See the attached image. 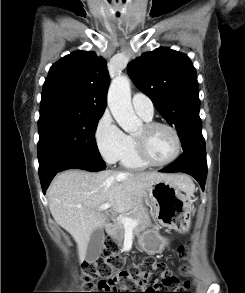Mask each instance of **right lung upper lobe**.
<instances>
[{
  "label": "right lung upper lobe",
  "mask_w": 245,
  "mask_h": 293,
  "mask_svg": "<svg viewBox=\"0 0 245 293\" xmlns=\"http://www.w3.org/2000/svg\"><path fill=\"white\" fill-rule=\"evenodd\" d=\"M108 86L105 59L94 52H73L50 68L43 85L40 113L60 110L102 115Z\"/></svg>",
  "instance_id": "right-lung-upper-lobe-1"
}]
</instances>
